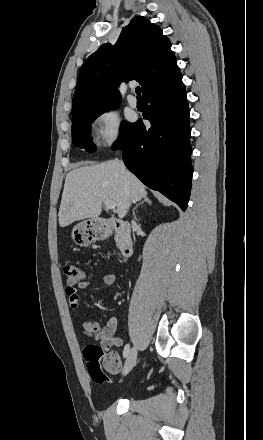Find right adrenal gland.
<instances>
[{"mask_svg":"<svg viewBox=\"0 0 263 440\" xmlns=\"http://www.w3.org/2000/svg\"><path fill=\"white\" fill-rule=\"evenodd\" d=\"M148 203V204H151L152 203V201L149 199V197H147V196H145L144 198H143V201H141L140 203H138L135 207H134V209H133V216H134V219L135 220H137V217H136V214H135V210L137 209V207L139 206V205H141V204H143V203Z\"/></svg>","mask_w":263,"mask_h":440,"instance_id":"1","label":"right adrenal gland"}]
</instances>
